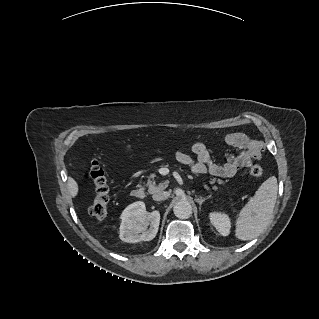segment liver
Returning a JSON list of instances; mask_svg holds the SVG:
<instances>
[{
    "label": "liver",
    "mask_w": 319,
    "mask_h": 319,
    "mask_svg": "<svg viewBox=\"0 0 319 319\" xmlns=\"http://www.w3.org/2000/svg\"><path fill=\"white\" fill-rule=\"evenodd\" d=\"M69 187H70V193H71V195H72L73 197L77 196V194H78V184H77V182H76L74 179H72V178L69 179Z\"/></svg>",
    "instance_id": "6515ba94"
}]
</instances>
